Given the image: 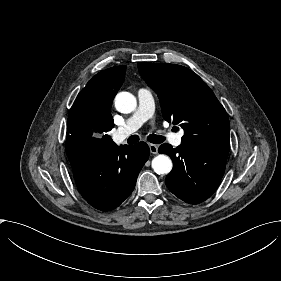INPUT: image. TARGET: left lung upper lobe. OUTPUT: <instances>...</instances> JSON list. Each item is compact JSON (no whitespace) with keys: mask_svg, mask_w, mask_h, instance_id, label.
<instances>
[{"mask_svg":"<svg viewBox=\"0 0 281 281\" xmlns=\"http://www.w3.org/2000/svg\"><path fill=\"white\" fill-rule=\"evenodd\" d=\"M138 68L157 93L164 119L184 129L181 144L230 145L227 113L197 74L167 63L138 62Z\"/></svg>","mask_w":281,"mask_h":281,"instance_id":"1","label":"left lung upper lobe"}]
</instances>
